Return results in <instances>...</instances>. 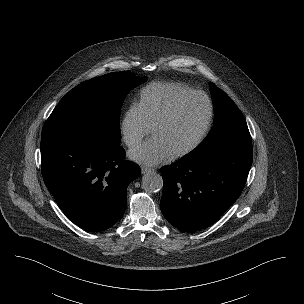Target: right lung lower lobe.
<instances>
[{"instance_id": "obj_1", "label": "right lung lower lobe", "mask_w": 304, "mask_h": 304, "mask_svg": "<svg viewBox=\"0 0 304 304\" xmlns=\"http://www.w3.org/2000/svg\"><path fill=\"white\" fill-rule=\"evenodd\" d=\"M40 148L44 182L74 224L96 232L121 219L127 186L141 174L121 146L69 134L44 139Z\"/></svg>"}]
</instances>
